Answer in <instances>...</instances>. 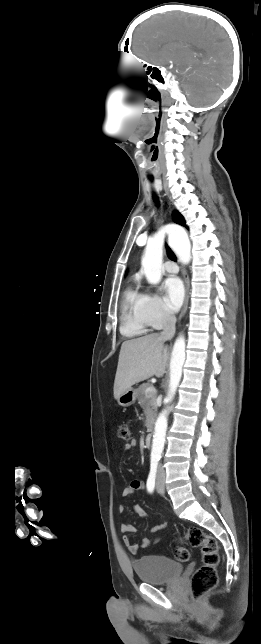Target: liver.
<instances>
[{"instance_id":"6515ba94","label":"liver","mask_w":261,"mask_h":644,"mask_svg":"<svg viewBox=\"0 0 261 644\" xmlns=\"http://www.w3.org/2000/svg\"><path fill=\"white\" fill-rule=\"evenodd\" d=\"M165 338L150 334L122 343L114 381V398L136 383L165 373L168 359Z\"/></svg>"}]
</instances>
